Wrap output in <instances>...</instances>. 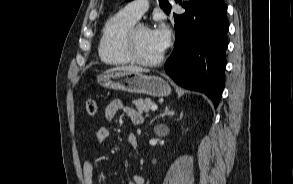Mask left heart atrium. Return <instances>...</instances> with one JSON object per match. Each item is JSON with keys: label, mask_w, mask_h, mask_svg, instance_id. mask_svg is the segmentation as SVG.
<instances>
[{"label": "left heart atrium", "mask_w": 293, "mask_h": 184, "mask_svg": "<svg viewBox=\"0 0 293 184\" xmlns=\"http://www.w3.org/2000/svg\"><path fill=\"white\" fill-rule=\"evenodd\" d=\"M152 40L158 49L162 52L166 49L170 42V30L167 25L160 24L156 28L150 30Z\"/></svg>", "instance_id": "1"}]
</instances>
